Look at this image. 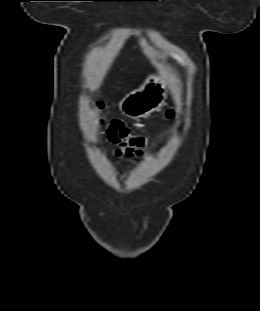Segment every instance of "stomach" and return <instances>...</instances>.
Returning a JSON list of instances; mask_svg holds the SVG:
<instances>
[{
	"label": "stomach",
	"instance_id": "obj_1",
	"mask_svg": "<svg viewBox=\"0 0 260 311\" xmlns=\"http://www.w3.org/2000/svg\"><path fill=\"white\" fill-rule=\"evenodd\" d=\"M165 99L166 77L150 75L141 87L127 94L119 102V108L126 116L139 119L150 115Z\"/></svg>",
	"mask_w": 260,
	"mask_h": 311
}]
</instances>
